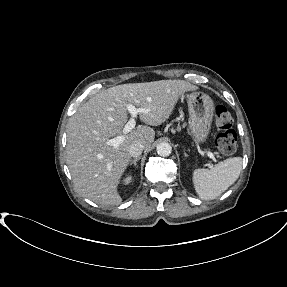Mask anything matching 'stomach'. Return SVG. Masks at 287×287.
<instances>
[{
    "label": "stomach",
    "instance_id": "0dacf381",
    "mask_svg": "<svg viewBox=\"0 0 287 287\" xmlns=\"http://www.w3.org/2000/svg\"><path fill=\"white\" fill-rule=\"evenodd\" d=\"M187 101L191 135L197 143H204L214 116L213 100L205 93L193 91L187 95Z\"/></svg>",
    "mask_w": 287,
    "mask_h": 287
}]
</instances>
